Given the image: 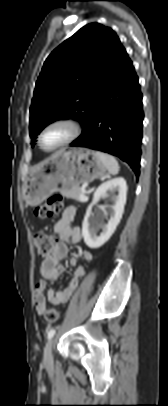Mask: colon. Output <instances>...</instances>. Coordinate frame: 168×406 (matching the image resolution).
Listing matches in <instances>:
<instances>
[{
    "label": "colon",
    "mask_w": 168,
    "mask_h": 406,
    "mask_svg": "<svg viewBox=\"0 0 168 406\" xmlns=\"http://www.w3.org/2000/svg\"><path fill=\"white\" fill-rule=\"evenodd\" d=\"M63 205L62 197L59 195L50 196L44 204L35 209V214L41 219H51L56 216ZM34 244L39 258H46L55 248L57 240L54 236L45 233H36L34 235ZM41 313L46 321L55 323L59 319L58 311L54 307H40Z\"/></svg>",
    "instance_id": "5ec220e1"
}]
</instances>
